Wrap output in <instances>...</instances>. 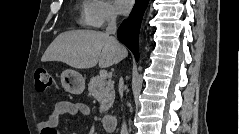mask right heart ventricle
Masks as SVG:
<instances>
[{
    "instance_id": "1",
    "label": "right heart ventricle",
    "mask_w": 239,
    "mask_h": 134,
    "mask_svg": "<svg viewBox=\"0 0 239 134\" xmlns=\"http://www.w3.org/2000/svg\"><path fill=\"white\" fill-rule=\"evenodd\" d=\"M86 5H87V3H83V5L81 6V11H82L81 23L82 24H88L87 20H86V17H85Z\"/></svg>"
}]
</instances>
